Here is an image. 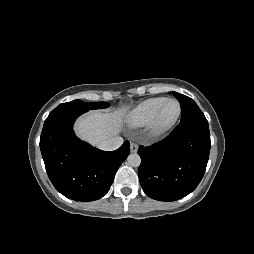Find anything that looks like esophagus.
<instances>
[{"mask_svg": "<svg viewBox=\"0 0 254 254\" xmlns=\"http://www.w3.org/2000/svg\"><path fill=\"white\" fill-rule=\"evenodd\" d=\"M130 150H131L132 153H136L137 150H138V145L136 143H134V142H131V144H130Z\"/></svg>", "mask_w": 254, "mask_h": 254, "instance_id": "34e87169", "label": "esophagus"}]
</instances>
